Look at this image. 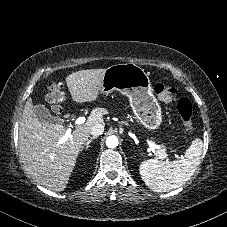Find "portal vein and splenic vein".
Returning a JSON list of instances; mask_svg holds the SVG:
<instances>
[{"label": "portal vein and splenic vein", "mask_w": 227, "mask_h": 227, "mask_svg": "<svg viewBox=\"0 0 227 227\" xmlns=\"http://www.w3.org/2000/svg\"><path fill=\"white\" fill-rule=\"evenodd\" d=\"M84 122H85V117L80 116V117H78V118L75 120L74 124H75V125H81V124H83ZM71 128H72V126H70V127L67 129L66 133H65V138H66V139L72 137V135H71L72 129H71ZM148 145H149L150 149H151L153 152H155V149H160V146H159V145H157V144H155V143H153V142H151V141H148ZM174 156H175L176 158H178V159H182V158H183L182 155L179 156V155H177V154H174ZM165 157H166V154L164 153V154H163V158H165Z\"/></svg>", "instance_id": "18ae733b"}]
</instances>
